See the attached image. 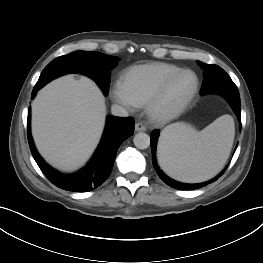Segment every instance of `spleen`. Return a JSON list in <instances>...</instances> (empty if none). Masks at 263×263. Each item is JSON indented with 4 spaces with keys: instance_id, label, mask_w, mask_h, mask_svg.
<instances>
[{
    "instance_id": "obj_1",
    "label": "spleen",
    "mask_w": 263,
    "mask_h": 263,
    "mask_svg": "<svg viewBox=\"0 0 263 263\" xmlns=\"http://www.w3.org/2000/svg\"><path fill=\"white\" fill-rule=\"evenodd\" d=\"M234 133V121L229 115L220 116L201 131L184 124H171L161 132L159 164L175 180L206 181L223 168Z\"/></svg>"
}]
</instances>
